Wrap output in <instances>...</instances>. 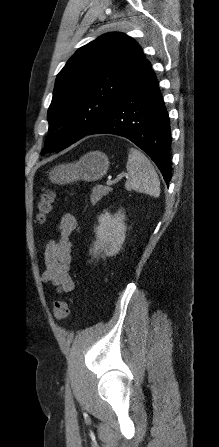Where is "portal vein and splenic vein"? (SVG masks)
<instances>
[{
	"label": "portal vein and splenic vein",
	"instance_id": "obj_1",
	"mask_svg": "<svg viewBox=\"0 0 219 447\" xmlns=\"http://www.w3.org/2000/svg\"><path fill=\"white\" fill-rule=\"evenodd\" d=\"M123 177L128 178V175H127V174H124V175H118V177L115 179V181H113V180H111V179H108V180H107V185H108V186H112L115 182L120 181Z\"/></svg>",
	"mask_w": 219,
	"mask_h": 447
}]
</instances>
